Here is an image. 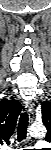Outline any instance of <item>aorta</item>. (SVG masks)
<instances>
[{
  "instance_id": "1",
  "label": "aorta",
  "mask_w": 51,
  "mask_h": 150,
  "mask_svg": "<svg viewBox=\"0 0 51 150\" xmlns=\"http://www.w3.org/2000/svg\"><path fill=\"white\" fill-rule=\"evenodd\" d=\"M29 134L35 137H44L46 135V128L42 124H33L29 128Z\"/></svg>"
}]
</instances>
